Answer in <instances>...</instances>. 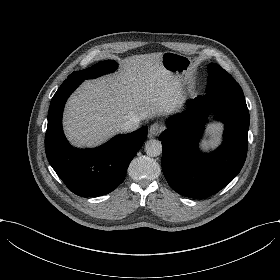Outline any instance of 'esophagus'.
Segmentation results:
<instances>
[{
  "instance_id": "1",
  "label": "esophagus",
  "mask_w": 280,
  "mask_h": 280,
  "mask_svg": "<svg viewBox=\"0 0 280 280\" xmlns=\"http://www.w3.org/2000/svg\"><path fill=\"white\" fill-rule=\"evenodd\" d=\"M164 130V126L158 123H154L150 126L149 135L151 137L157 136L161 131Z\"/></svg>"
}]
</instances>
